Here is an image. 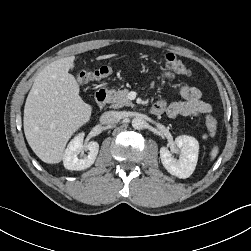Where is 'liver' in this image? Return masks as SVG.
<instances>
[{
  "label": "liver",
  "instance_id": "obj_1",
  "mask_svg": "<svg viewBox=\"0 0 251 251\" xmlns=\"http://www.w3.org/2000/svg\"><path fill=\"white\" fill-rule=\"evenodd\" d=\"M115 55L99 56L97 60ZM74 60L75 56H69L46 66L26 99L24 133L33 152L45 163H59L70 137L91 117L92 106L79 96V84L69 73Z\"/></svg>",
  "mask_w": 251,
  "mask_h": 251
}]
</instances>
